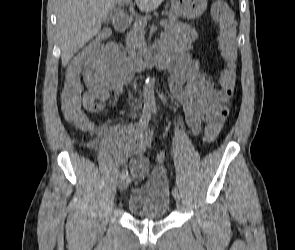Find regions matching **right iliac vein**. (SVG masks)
Returning <instances> with one entry per match:
<instances>
[{"label":"right iliac vein","mask_w":295,"mask_h":250,"mask_svg":"<svg viewBox=\"0 0 295 250\" xmlns=\"http://www.w3.org/2000/svg\"><path fill=\"white\" fill-rule=\"evenodd\" d=\"M130 183V177L127 175L125 177H122L120 182H119V191L122 192L124 191Z\"/></svg>","instance_id":"right-iliac-vein-1"}]
</instances>
